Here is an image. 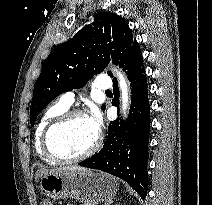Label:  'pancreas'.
<instances>
[{
	"label": "pancreas",
	"instance_id": "1",
	"mask_svg": "<svg viewBox=\"0 0 212 205\" xmlns=\"http://www.w3.org/2000/svg\"><path fill=\"white\" fill-rule=\"evenodd\" d=\"M82 205H93V204H91V203H84V204H82Z\"/></svg>",
	"mask_w": 212,
	"mask_h": 205
}]
</instances>
